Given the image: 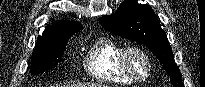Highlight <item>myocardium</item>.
<instances>
[{
  "instance_id": "myocardium-1",
  "label": "myocardium",
  "mask_w": 205,
  "mask_h": 87,
  "mask_svg": "<svg viewBox=\"0 0 205 87\" xmlns=\"http://www.w3.org/2000/svg\"><path fill=\"white\" fill-rule=\"evenodd\" d=\"M132 53L139 54L145 59L147 63V72L143 77L136 75L130 68L128 59ZM119 64L124 74L135 82H141L146 80L151 75L153 70V61L150 54L145 49L139 46L124 47L119 56Z\"/></svg>"
}]
</instances>
